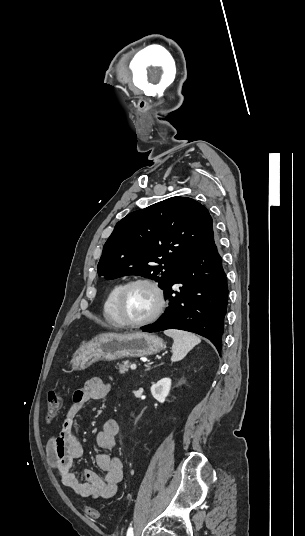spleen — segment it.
I'll return each mask as SVG.
<instances>
[{
	"instance_id": "1",
	"label": "spleen",
	"mask_w": 305,
	"mask_h": 536,
	"mask_svg": "<svg viewBox=\"0 0 305 536\" xmlns=\"http://www.w3.org/2000/svg\"><path fill=\"white\" fill-rule=\"evenodd\" d=\"M164 334L174 340L171 362H180V360H183L187 356L190 350H193L194 346H197L201 342L200 338L195 336V334L182 332V330H166Z\"/></svg>"
}]
</instances>
